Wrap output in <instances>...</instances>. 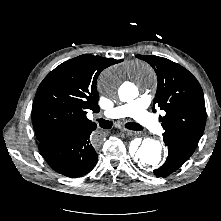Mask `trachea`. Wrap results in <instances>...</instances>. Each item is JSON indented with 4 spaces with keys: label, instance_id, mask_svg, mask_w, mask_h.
<instances>
[{
    "label": "trachea",
    "instance_id": "1",
    "mask_svg": "<svg viewBox=\"0 0 221 221\" xmlns=\"http://www.w3.org/2000/svg\"><path fill=\"white\" fill-rule=\"evenodd\" d=\"M98 122L101 128L110 129L112 127V121L105 120V119H98ZM125 127L134 131L143 130V127L140 124L135 123V122H128L125 124Z\"/></svg>",
    "mask_w": 221,
    "mask_h": 221
}]
</instances>
